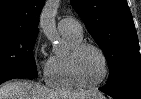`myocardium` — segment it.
<instances>
[{"mask_svg": "<svg viewBox=\"0 0 141 99\" xmlns=\"http://www.w3.org/2000/svg\"><path fill=\"white\" fill-rule=\"evenodd\" d=\"M87 48H92L96 50L102 57L103 63H104L103 76L99 81L95 83L85 82L81 78L80 72H79L78 60H79L80 54ZM69 64H70V70H71L72 77L80 87H84V88L99 87L101 84L105 82V80L107 79L109 75V60H108L106 53L104 52V50L101 47L91 42H80L75 47H73L69 54Z\"/></svg>", "mask_w": 141, "mask_h": 99, "instance_id": "obj_1", "label": "myocardium"}]
</instances>
